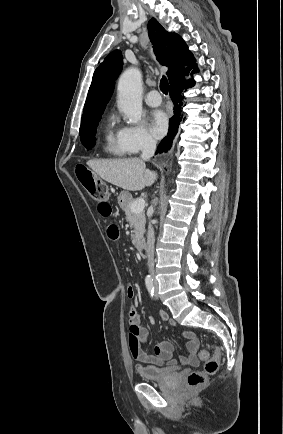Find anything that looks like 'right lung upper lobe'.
Segmentation results:
<instances>
[{
  "mask_svg": "<svg viewBox=\"0 0 283 434\" xmlns=\"http://www.w3.org/2000/svg\"><path fill=\"white\" fill-rule=\"evenodd\" d=\"M149 38L157 60L168 67L167 76L170 84L174 81H187L185 76L198 72L193 54L184 40L176 33L167 32L162 25L152 18L148 22ZM123 57L119 50L111 52L95 70L92 83L84 106L81 125L101 118L114 89V81L122 70ZM188 67H184V66Z\"/></svg>",
  "mask_w": 283,
  "mask_h": 434,
  "instance_id": "1",
  "label": "right lung upper lobe"
}]
</instances>
